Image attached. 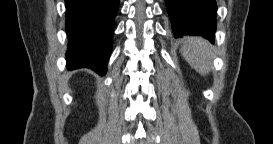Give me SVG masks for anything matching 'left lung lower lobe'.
<instances>
[{"mask_svg":"<svg viewBox=\"0 0 273 144\" xmlns=\"http://www.w3.org/2000/svg\"><path fill=\"white\" fill-rule=\"evenodd\" d=\"M174 37L202 36L213 43L216 30L215 0H165Z\"/></svg>","mask_w":273,"mask_h":144,"instance_id":"obj_1","label":"left lung lower lobe"}]
</instances>
